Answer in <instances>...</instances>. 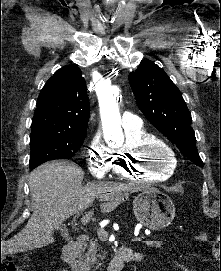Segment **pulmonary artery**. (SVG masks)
Masks as SVG:
<instances>
[{
  "instance_id": "1",
  "label": "pulmonary artery",
  "mask_w": 221,
  "mask_h": 271,
  "mask_svg": "<svg viewBox=\"0 0 221 271\" xmlns=\"http://www.w3.org/2000/svg\"><path fill=\"white\" fill-rule=\"evenodd\" d=\"M122 117L120 127H142L143 123L139 122V117H132V112H125ZM135 133H141V128H127V133H123V138H135Z\"/></svg>"
}]
</instances>
